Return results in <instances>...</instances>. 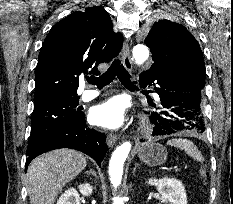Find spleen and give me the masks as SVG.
Returning a JSON list of instances; mask_svg holds the SVG:
<instances>
[{"label": "spleen", "mask_w": 233, "mask_h": 204, "mask_svg": "<svg viewBox=\"0 0 233 204\" xmlns=\"http://www.w3.org/2000/svg\"><path fill=\"white\" fill-rule=\"evenodd\" d=\"M167 145L184 150L188 156L199 162L204 160L198 148L188 139H171L167 142Z\"/></svg>", "instance_id": "spleen-1"}]
</instances>
